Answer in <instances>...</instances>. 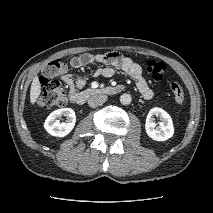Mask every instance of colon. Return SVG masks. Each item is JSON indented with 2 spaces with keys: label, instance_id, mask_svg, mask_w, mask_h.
I'll return each instance as SVG.
<instances>
[{
  "label": "colon",
  "instance_id": "5ec220e1",
  "mask_svg": "<svg viewBox=\"0 0 213 213\" xmlns=\"http://www.w3.org/2000/svg\"><path fill=\"white\" fill-rule=\"evenodd\" d=\"M146 71L155 80L161 81L166 73V64L161 61L148 60ZM66 71V63L62 59H55L45 65L40 77L41 94L38 104L41 108L63 107L67 103L68 96L59 81L54 78ZM173 100L176 105L182 106L185 102V93L177 81L168 83Z\"/></svg>",
  "mask_w": 213,
  "mask_h": 213
}]
</instances>
